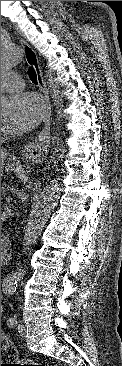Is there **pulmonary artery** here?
I'll return each mask as SVG.
<instances>
[{"label": "pulmonary artery", "mask_w": 122, "mask_h": 366, "mask_svg": "<svg viewBox=\"0 0 122 366\" xmlns=\"http://www.w3.org/2000/svg\"><path fill=\"white\" fill-rule=\"evenodd\" d=\"M24 87L22 78L14 72L1 73V92H13Z\"/></svg>", "instance_id": "pulmonary-artery-1"}]
</instances>
